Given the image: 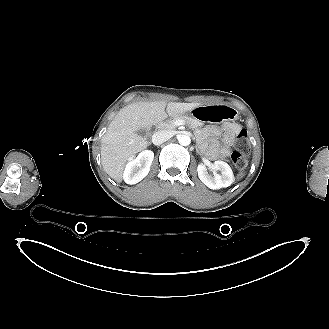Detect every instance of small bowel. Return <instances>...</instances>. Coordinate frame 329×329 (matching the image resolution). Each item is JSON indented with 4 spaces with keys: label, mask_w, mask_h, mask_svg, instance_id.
Listing matches in <instances>:
<instances>
[{
    "label": "small bowel",
    "mask_w": 329,
    "mask_h": 329,
    "mask_svg": "<svg viewBox=\"0 0 329 329\" xmlns=\"http://www.w3.org/2000/svg\"><path fill=\"white\" fill-rule=\"evenodd\" d=\"M241 130L238 124H230L225 128L208 126L205 133L209 137L210 156L214 159L228 157Z\"/></svg>",
    "instance_id": "c3829d8e"
}]
</instances>
